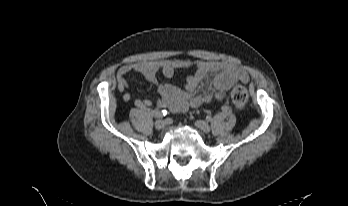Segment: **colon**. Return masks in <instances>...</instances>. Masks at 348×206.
<instances>
[{
	"label": "colon",
	"mask_w": 348,
	"mask_h": 206,
	"mask_svg": "<svg viewBox=\"0 0 348 206\" xmlns=\"http://www.w3.org/2000/svg\"><path fill=\"white\" fill-rule=\"evenodd\" d=\"M230 97L237 109H243L248 100V93L244 86L236 85L232 88Z\"/></svg>",
	"instance_id": "1"
}]
</instances>
